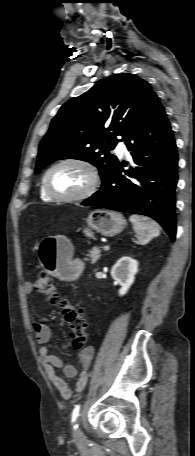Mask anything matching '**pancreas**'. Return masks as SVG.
<instances>
[{
	"instance_id": "cf45deb5",
	"label": "pancreas",
	"mask_w": 195,
	"mask_h": 456,
	"mask_svg": "<svg viewBox=\"0 0 195 456\" xmlns=\"http://www.w3.org/2000/svg\"><path fill=\"white\" fill-rule=\"evenodd\" d=\"M87 256H88V258L85 259L86 261H91V263H95L101 257L100 248L93 247L91 250H89V253Z\"/></svg>"
}]
</instances>
